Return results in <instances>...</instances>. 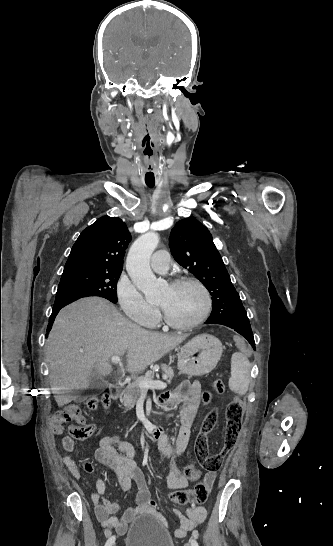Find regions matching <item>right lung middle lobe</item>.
<instances>
[{
  "instance_id": "1",
  "label": "right lung middle lobe",
  "mask_w": 333,
  "mask_h": 546,
  "mask_svg": "<svg viewBox=\"0 0 333 546\" xmlns=\"http://www.w3.org/2000/svg\"><path fill=\"white\" fill-rule=\"evenodd\" d=\"M122 270L76 272L62 275L53 309L83 297L99 296L117 302L116 286Z\"/></svg>"
}]
</instances>
